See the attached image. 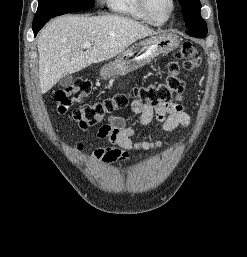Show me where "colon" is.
Returning <instances> with one entry per match:
<instances>
[{
    "instance_id": "5ec220e1",
    "label": "colon",
    "mask_w": 247,
    "mask_h": 257,
    "mask_svg": "<svg viewBox=\"0 0 247 257\" xmlns=\"http://www.w3.org/2000/svg\"><path fill=\"white\" fill-rule=\"evenodd\" d=\"M175 56L178 60H183L182 67L186 71L194 70L200 65L198 49L191 42H184ZM184 90L185 81L181 77V66L178 62H172L162 82L135 87L131 96L144 105L157 106L169 101L173 94H181ZM91 92L90 81L83 79H78L72 85L56 91L54 102L57 111L60 114L69 112L74 105L89 97ZM128 101V95L119 93L111 98L80 105L72 110L70 118L79 128L87 129L102 123L114 112L125 108Z\"/></svg>"
}]
</instances>
